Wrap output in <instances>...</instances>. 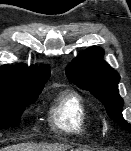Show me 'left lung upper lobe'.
Returning a JSON list of instances; mask_svg holds the SVG:
<instances>
[{
    "label": "left lung upper lobe",
    "mask_w": 131,
    "mask_h": 151,
    "mask_svg": "<svg viewBox=\"0 0 131 151\" xmlns=\"http://www.w3.org/2000/svg\"><path fill=\"white\" fill-rule=\"evenodd\" d=\"M102 56L103 51L98 47L85 50L67 66L66 75L78 87L90 91L100 100L112 120L130 129L121 114L124 102L118 91L120 76L102 60Z\"/></svg>",
    "instance_id": "5c2ea615"
}]
</instances>
